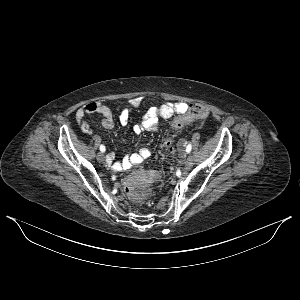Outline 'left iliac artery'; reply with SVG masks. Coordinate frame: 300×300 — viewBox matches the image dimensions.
<instances>
[{
    "label": "left iliac artery",
    "mask_w": 300,
    "mask_h": 300,
    "mask_svg": "<svg viewBox=\"0 0 300 300\" xmlns=\"http://www.w3.org/2000/svg\"><path fill=\"white\" fill-rule=\"evenodd\" d=\"M191 149H192V145L188 144L187 147H186V152L190 153Z\"/></svg>",
    "instance_id": "1"
}]
</instances>
